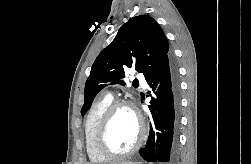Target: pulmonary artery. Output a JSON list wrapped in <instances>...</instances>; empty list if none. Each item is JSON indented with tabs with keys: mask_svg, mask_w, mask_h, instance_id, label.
<instances>
[{
	"mask_svg": "<svg viewBox=\"0 0 251 164\" xmlns=\"http://www.w3.org/2000/svg\"><path fill=\"white\" fill-rule=\"evenodd\" d=\"M135 77L145 86L144 78L141 75H136ZM108 95L111 96L110 93Z\"/></svg>",
	"mask_w": 251,
	"mask_h": 164,
	"instance_id": "obj_1",
	"label": "pulmonary artery"
}]
</instances>
